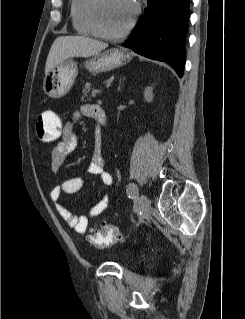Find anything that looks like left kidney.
Returning <instances> with one entry per match:
<instances>
[{"label":"left kidney","instance_id":"left-kidney-1","mask_svg":"<svg viewBox=\"0 0 245 319\" xmlns=\"http://www.w3.org/2000/svg\"><path fill=\"white\" fill-rule=\"evenodd\" d=\"M153 88L152 87H147L144 90V98L146 100V102H152L153 100Z\"/></svg>","mask_w":245,"mask_h":319}]
</instances>
